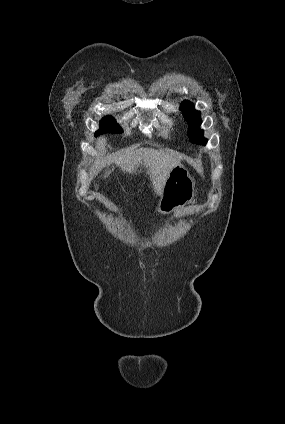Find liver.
<instances>
[{"mask_svg": "<svg viewBox=\"0 0 285 424\" xmlns=\"http://www.w3.org/2000/svg\"><path fill=\"white\" fill-rule=\"evenodd\" d=\"M105 145L106 139L100 137L97 140L96 148L103 153L102 156L104 155ZM180 159L181 155L172 150H155L133 146L110 154L106 158L102 157V160L96 163L95 169L102 168L106 164L110 165L115 163L122 172L136 174V172L140 173L142 168H145L155 194L160 196L170 171L179 163ZM138 168H140V170H138ZM109 173L110 170L106 171L104 178H106Z\"/></svg>", "mask_w": 285, "mask_h": 424, "instance_id": "obj_1", "label": "liver"}]
</instances>
